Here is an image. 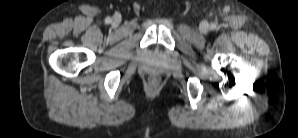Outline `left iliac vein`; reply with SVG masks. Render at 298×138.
I'll return each instance as SVG.
<instances>
[{
    "label": "left iliac vein",
    "mask_w": 298,
    "mask_h": 138,
    "mask_svg": "<svg viewBox=\"0 0 298 138\" xmlns=\"http://www.w3.org/2000/svg\"><path fill=\"white\" fill-rule=\"evenodd\" d=\"M200 31L202 33H207L208 30H209V25L206 21H203L201 24H200V27H199Z\"/></svg>",
    "instance_id": "left-iliac-vein-1"
}]
</instances>
